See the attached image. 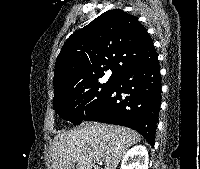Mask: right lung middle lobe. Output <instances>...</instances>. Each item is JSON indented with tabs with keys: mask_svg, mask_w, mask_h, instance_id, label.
<instances>
[{
	"mask_svg": "<svg viewBox=\"0 0 200 169\" xmlns=\"http://www.w3.org/2000/svg\"><path fill=\"white\" fill-rule=\"evenodd\" d=\"M114 83V78L104 84L91 81L72 94L54 99V109L63 119L79 124L103 105Z\"/></svg>",
	"mask_w": 200,
	"mask_h": 169,
	"instance_id": "dd1d6c3e",
	"label": "right lung middle lobe"
}]
</instances>
